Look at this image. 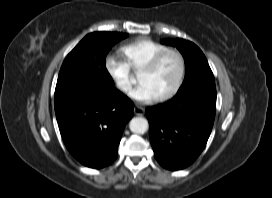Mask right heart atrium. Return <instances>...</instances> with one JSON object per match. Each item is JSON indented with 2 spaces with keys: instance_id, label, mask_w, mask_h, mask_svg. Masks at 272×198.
I'll return each instance as SVG.
<instances>
[{
  "instance_id": "right-heart-atrium-1",
  "label": "right heart atrium",
  "mask_w": 272,
  "mask_h": 198,
  "mask_svg": "<svg viewBox=\"0 0 272 198\" xmlns=\"http://www.w3.org/2000/svg\"><path fill=\"white\" fill-rule=\"evenodd\" d=\"M104 68L117 90L128 93L132 86V73L127 62L117 55L108 54L104 59Z\"/></svg>"
}]
</instances>
